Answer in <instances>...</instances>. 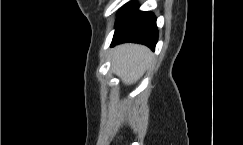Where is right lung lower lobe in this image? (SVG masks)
Returning a JSON list of instances; mask_svg holds the SVG:
<instances>
[{
  "mask_svg": "<svg viewBox=\"0 0 243 145\" xmlns=\"http://www.w3.org/2000/svg\"><path fill=\"white\" fill-rule=\"evenodd\" d=\"M158 39L156 17L151 12H142L138 6L129 3L121 9L111 46L135 42L145 44L154 50Z\"/></svg>",
  "mask_w": 243,
  "mask_h": 145,
  "instance_id": "98d812e1",
  "label": "right lung lower lobe"
}]
</instances>
